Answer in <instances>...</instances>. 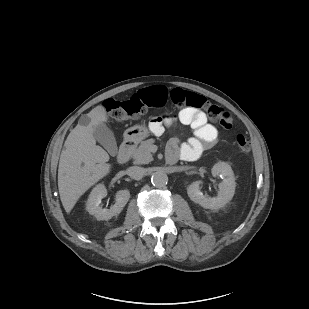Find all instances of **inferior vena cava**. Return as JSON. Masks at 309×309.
Returning a JSON list of instances; mask_svg holds the SVG:
<instances>
[{"mask_svg":"<svg viewBox=\"0 0 309 309\" xmlns=\"http://www.w3.org/2000/svg\"><path fill=\"white\" fill-rule=\"evenodd\" d=\"M127 174L135 180H140L145 174V169L138 166H132L127 169Z\"/></svg>","mask_w":309,"mask_h":309,"instance_id":"obj_1","label":"inferior vena cava"}]
</instances>
